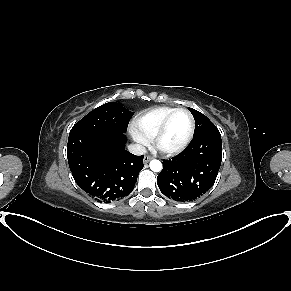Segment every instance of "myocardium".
<instances>
[{
  "mask_svg": "<svg viewBox=\"0 0 291 291\" xmlns=\"http://www.w3.org/2000/svg\"><path fill=\"white\" fill-rule=\"evenodd\" d=\"M179 112H185L188 114L190 118L189 132L185 140L180 145L173 148H166L162 145V139L167 131V128L169 126L171 119L173 118L175 114ZM194 131H195V119H194L193 114L190 112V110H188L187 108H176L171 113H169L167 117L164 119V121L162 122L161 126L159 127L157 133L155 134L153 138V143H154L155 148L162 154H165V155L178 154L182 152L184 149H186V147L190 144L194 136Z\"/></svg>",
  "mask_w": 291,
  "mask_h": 291,
  "instance_id": "myocardium-1",
  "label": "myocardium"
}]
</instances>
